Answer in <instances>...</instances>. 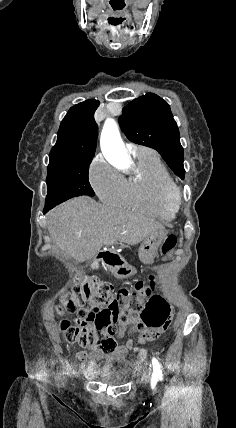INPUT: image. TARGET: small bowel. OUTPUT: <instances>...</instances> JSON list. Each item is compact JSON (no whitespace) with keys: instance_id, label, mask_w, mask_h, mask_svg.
I'll return each mask as SVG.
<instances>
[{"instance_id":"small-bowel-1","label":"small bowel","mask_w":236,"mask_h":428,"mask_svg":"<svg viewBox=\"0 0 236 428\" xmlns=\"http://www.w3.org/2000/svg\"><path fill=\"white\" fill-rule=\"evenodd\" d=\"M126 326H120V333H124ZM161 333L159 330L140 331L128 343L127 346L119 349L111 355H104L101 352L81 351L77 354L81 362V368L89 375H95L101 369L105 368L112 362H127L130 358L143 361L146 356V350L139 348L138 344L153 340ZM130 351V356L128 352Z\"/></svg>"}]
</instances>
